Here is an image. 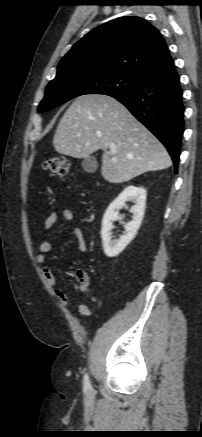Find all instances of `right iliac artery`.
Listing matches in <instances>:
<instances>
[{"mask_svg": "<svg viewBox=\"0 0 202 437\" xmlns=\"http://www.w3.org/2000/svg\"><path fill=\"white\" fill-rule=\"evenodd\" d=\"M84 388L85 389L91 388V384H90L89 377L87 374L84 375Z\"/></svg>", "mask_w": 202, "mask_h": 437, "instance_id": "82829eb1", "label": "right iliac artery"}]
</instances>
